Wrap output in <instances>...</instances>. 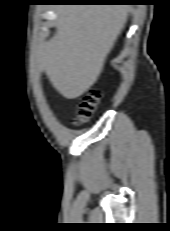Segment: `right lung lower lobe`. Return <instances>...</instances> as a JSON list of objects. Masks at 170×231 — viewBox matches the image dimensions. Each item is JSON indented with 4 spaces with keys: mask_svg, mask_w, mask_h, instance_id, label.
Instances as JSON below:
<instances>
[{
    "mask_svg": "<svg viewBox=\"0 0 170 231\" xmlns=\"http://www.w3.org/2000/svg\"><path fill=\"white\" fill-rule=\"evenodd\" d=\"M50 2L68 4V3H121L126 0H49Z\"/></svg>",
    "mask_w": 170,
    "mask_h": 231,
    "instance_id": "98d812e1",
    "label": "right lung lower lobe"
}]
</instances>
